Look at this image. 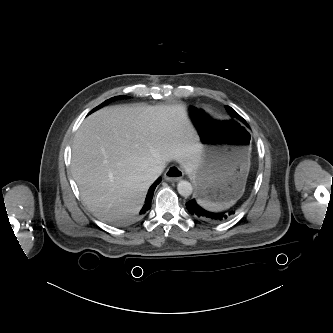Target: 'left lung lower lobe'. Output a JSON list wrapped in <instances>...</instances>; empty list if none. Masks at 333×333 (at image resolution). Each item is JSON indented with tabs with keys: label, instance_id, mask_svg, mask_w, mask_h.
Masks as SVG:
<instances>
[{
	"label": "left lung lower lobe",
	"instance_id": "0a47b994",
	"mask_svg": "<svg viewBox=\"0 0 333 333\" xmlns=\"http://www.w3.org/2000/svg\"><path fill=\"white\" fill-rule=\"evenodd\" d=\"M186 207L192 215H194L202 220L209 221V222L225 221V220L229 219L235 213L233 210L221 212V213H214V212L206 211V210L202 209L196 203V201L194 199L188 201L186 203Z\"/></svg>",
	"mask_w": 333,
	"mask_h": 333
}]
</instances>
